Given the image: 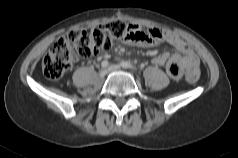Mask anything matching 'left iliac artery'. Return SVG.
<instances>
[{
	"mask_svg": "<svg viewBox=\"0 0 238 158\" xmlns=\"http://www.w3.org/2000/svg\"><path fill=\"white\" fill-rule=\"evenodd\" d=\"M120 65H121L123 68H130V69L136 70V68H135L130 62H127V61H122V62L120 63Z\"/></svg>",
	"mask_w": 238,
	"mask_h": 158,
	"instance_id": "obj_1",
	"label": "left iliac artery"
}]
</instances>
